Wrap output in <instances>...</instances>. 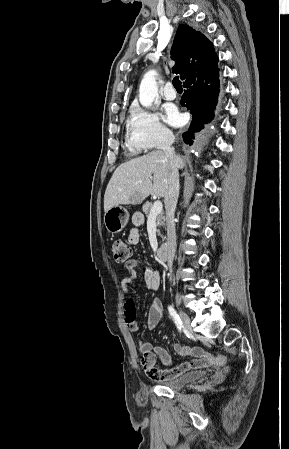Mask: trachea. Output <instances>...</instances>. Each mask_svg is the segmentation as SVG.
Segmentation results:
<instances>
[{
  "label": "trachea",
  "instance_id": "trachea-1",
  "mask_svg": "<svg viewBox=\"0 0 289 449\" xmlns=\"http://www.w3.org/2000/svg\"><path fill=\"white\" fill-rule=\"evenodd\" d=\"M173 85H174L175 89H182L181 81L179 80L178 76L174 77Z\"/></svg>",
  "mask_w": 289,
  "mask_h": 449
}]
</instances>
